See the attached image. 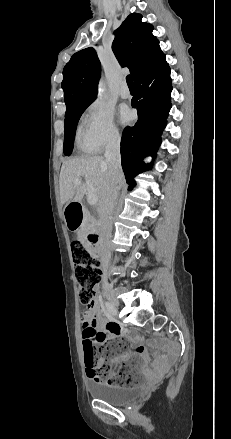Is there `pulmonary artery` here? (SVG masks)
<instances>
[{"label":"pulmonary artery","mask_w":231,"mask_h":439,"mask_svg":"<svg viewBox=\"0 0 231 439\" xmlns=\"http://www.w3.org/2000/svg\"><path fill=\"white\" fill-rule=\"evenodd\" d=\"M120 95L122 98H128L130 96L129 88L127 87L126 83H123L120 88Z\"/></svg>","instance_id":"pulmonary-artery-1"}]
</instances>
